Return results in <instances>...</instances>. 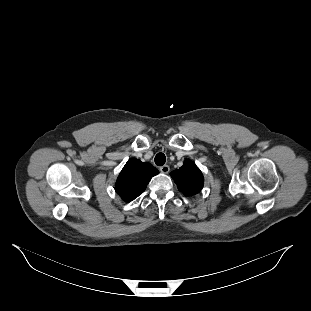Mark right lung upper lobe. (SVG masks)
Returning a JSON list of instances; mask_svg holds the SVG:
<instances>
[{"label": "right lung upper lobe", "mask_w": 311, "mask_h": 311, "mask_svg": "<svg viewBox=\"0 0 311 311\" xmlns=\"http://www.w3.org/2000/svg\"><path fill=\"white\" fill-rule=\"evenodd\" d=\"M158 173L150 163L130 159L116 181L115 190L124 201L130 202L146 189L151 178Z\"/></svg>", "instance_id": "1"}]
</instances>
